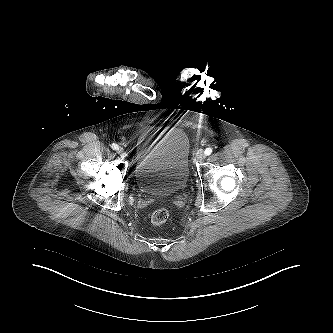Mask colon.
I'll use <instances>...</instances> for the list:
<instances>
[{"instance_id": "1", "label": "colon", "mask_w": 333, "mask_h": 333, "mask_svg": "<svg viewBox=\"0 0 333 333\" xmlns=\"http://www.w3.org/2000/svg\"><path fill=\"white\" fill-rule=\"evenodd\" d=\"M169 217V212L166 208H158L151 214V222L154 225L164 224Z\"/></svg>"}]
</instances>
